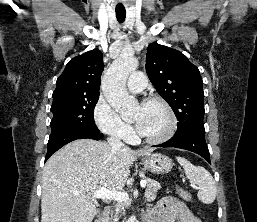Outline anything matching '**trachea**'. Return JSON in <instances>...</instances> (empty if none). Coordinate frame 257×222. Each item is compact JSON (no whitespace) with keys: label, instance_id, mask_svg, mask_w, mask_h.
Instances as JSON below:
<instances>
[{"label":"trachea","instance_id":"obj_1","mask_svg":"<svg viewBox=\"0 0 257 222\" xmlns=\"http://www.w3.org/2000/svg\"><path fill=\"white\" fill-rule=\"evenodd\" d=\"M116 18L119 23H123L126 18V12L125 10H116Z\"/></svg>","mask_w":257,"mask_h":222}]
</instances>
